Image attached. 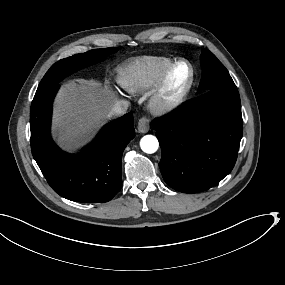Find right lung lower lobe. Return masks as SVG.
Instances as JSON below:
<instances>
[{
    "mask_svg": "<svg viewBox=\"0 0 285 285\" xmlns=\"http://www.w3.org/2000/svg\"><path fill=\"white\" fill-rule=\"evenodd\" d=\"M60 85L36 91L31 104L32 155L52 189L81 203L110 201L121 189L122 154L135 137L133 114L106 125L79 154L62 151L50 134L52 103Z\"/></svg>",
    "mask_w": 285,
    "mask_h": 285,
    "instance_id": "obj_1",
    "label": "right lung lower lobe"
}]
</instances>
